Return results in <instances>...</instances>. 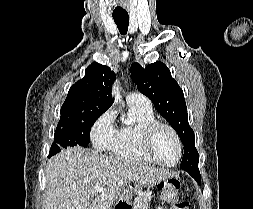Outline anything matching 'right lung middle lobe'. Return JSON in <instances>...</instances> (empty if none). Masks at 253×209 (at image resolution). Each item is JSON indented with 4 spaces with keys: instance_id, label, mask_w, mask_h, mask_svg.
<instances>
[{
    "instance_id": "1",
    "label": "right lung middle lobe",
    "mask_w": 253,
    "mask_h": 209,
    "mask_svg": "<svg viewBox=\"0 0 253 209\" xmlns=\"http://www.w3.org/2000/svg\"><path fill=\"white\" fill-rule=\"evenodd\" d=\"M102 113H89L83 116L59 122L50 148L49 157L57 154L62 148L80 145L86 147L90 141V130Z\"/></svg>"
}]
</instances>
